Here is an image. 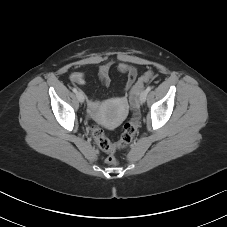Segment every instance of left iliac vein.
I'll use <instances>...</instances> for the list:
<instances>
[{"mask_svg":"<svg viewBox=\"0 0 227 227\" xmlns=\"http://www.w3.org/2000/svg\"><path fill=\"white\" fill-rule=\"evenodd\" d=\"M147 95H148V92L146 90H143L139 96V101L140 103H144L146 101V98H147Z\"/></svg>","mask_w":227,"mask_h":227,"instance_id":"obj_1","label":"left iliac vein"}]
</instances>
